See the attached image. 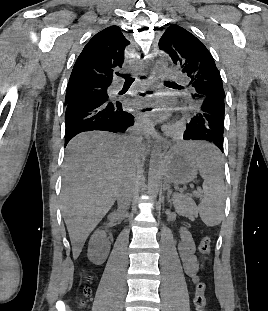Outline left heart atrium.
<instances>
[{
	"mask_svg": "<svg viewBox=\"0 0 268 311\" xmlns=\"http://www.w3.org/2000/svg\"><path fill=\"white\" fill-rule=\"evenodd\" d=\"M148 104H152L151 102H146V101H134L133 105L134 106H142V105H148ZM158 110H166V109H158Z\"/></svg>",
	"mask_w": 268,
	"mask_h": 311,
	"instance_id": "1",
	"label": "left heart atrium"
}]
</instances>
